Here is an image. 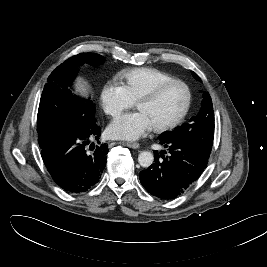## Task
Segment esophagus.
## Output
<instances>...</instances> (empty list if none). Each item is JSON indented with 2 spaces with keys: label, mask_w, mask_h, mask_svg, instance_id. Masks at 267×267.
I'll return each instance as SVG.
<instances>
[{
  "label": "esophagus",
  "mask_w": 267,
  "mask_h": 267,
  "mask_svg": "<svg viewBox=\"0 0 267 267\" xmlns=\"http://www.w3.org/2000/svg\"><path fill=\"white\" fill-rule=\"evenodd\" d=\"M122 144L133 149L140 148V145L138 143L123 142Z\"/></svg>",
  "instance_id": "34e87169"
}]
</instances>
